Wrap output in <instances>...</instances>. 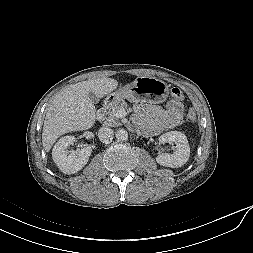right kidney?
<instances>
[{"instance_id": "1", "label": "right kidney", "mask_w": 253, "mask_h": 253, "mask_svg": "<svg viewBox=\"0 0 253 253\" xmlns=\"http://www.w3.org/2000/svg\"><path fill=\"white\" fill-rule=\"evenodd\" d=\"M74 141V136H64L59 139L52 150L54 162L65 174H74L80 171L91 156L92 149L90 147H84L77 151H68V146Z\"/></svg>"}]
</instances>
